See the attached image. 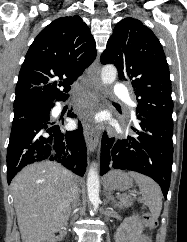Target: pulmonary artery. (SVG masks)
I'll return each instance as SVG.
<instances>
[{
  "instance_id": "pulmonary-artery-1",
  "label": "pulmonary artery",
  "mask_w": 187,
  "mask_h": 242,
  "mask_svg": "<svg viewBox=\"0 0 187 242\" xmlns=\"http://www.w3.org/2000/svg\"><path fill=\"white\" fill-rule=\"evenodd\" d=\"M115 95L120 99L125 98L128 96V90L124 85L117 84L115 86ZM133 105H135V104H133Z\"/></svg>"
}]
</instances>
